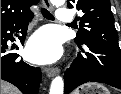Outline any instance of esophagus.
Masks as SVG:
<instances>
[{
	"label": "esophagus",
	"instance_id": "1",
	"mask_svg": "<svg viewBox=\"0 0 121 94\" xmlns=\"http://www.w3.org/2000/svg\"><path fill=\"white\" fill-rule=\"evenodd\" d=\"M42 3L45 8L50 9V10L52 9V5L49 0H42ZM45 72L48 77H54L59 72V69L58 68H46Z\"/></svg>",
	"mask_w": 121,
	"mask_h": 94
}]
</instances>
